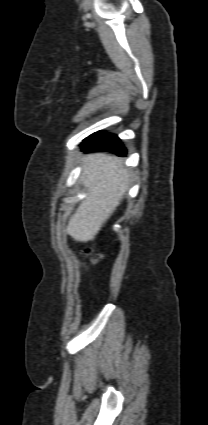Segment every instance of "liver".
Masks as SVG:
<instances>
[{"label":"liver","instance_id":"1","mask_svg":"<svg viewBox=\"0 0 208 425\" xmlns=\"http://www.w3.org/2000/svg\"><path fill=\"white\" fill-rule=\"evenodd\" d=\"M81 181L87 196L70 217L67 233L78 242L95 238L128 190L129 171L123 161L106 154L83 157Z\"/></svg>","mask_w":208,"mask_h":425}]
</instances>
